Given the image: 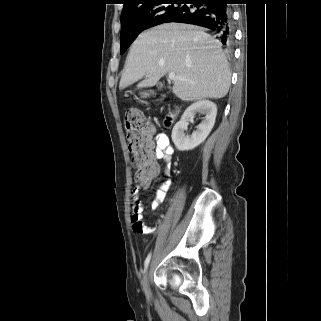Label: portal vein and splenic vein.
Masks as SVG:
<instances>
[{"label": "portal vein and splenic vein", "mask_w": 321, "mask_h": 321, "mask_svg": "<svg viewBox=\"0 0 321 321\" xmlns=\"http://www.w3.org/2000/svg\"><path fill=\"white\" fill-rule=\"evenodd\" d=\"M168 77H169V79H171V80H173V81H174V80H182V81H185V80H186L185 78L176 76L175 73H169V74H168Z\"/></svg>", "instance_id": "obj_1"}]
</instances>
